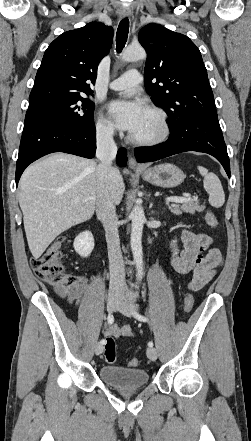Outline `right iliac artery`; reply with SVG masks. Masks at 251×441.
I'll list each match as a JSON object with an SVG mask.
<instances>
[{
  "mask_svg": "<svg viewBox=\"0 0 251 441\" xmlns=\"http://www.w3.org/2000/svg\"><path fill=\"white\" fill-rule=\"evenodd\" d=\"M107 321H108V324H110V325L113 324V322H114V317H113V315H112L111 313H109V315H108V317H107ZM100 343H101L102 345L105 344V340L102 339V340L100 341Z\"/></svg>",
  "mask_w": 251,
  "mask_h": 441,
  "instance_id": "1",
  "label": "right iliac artery"
}]
</instances>
